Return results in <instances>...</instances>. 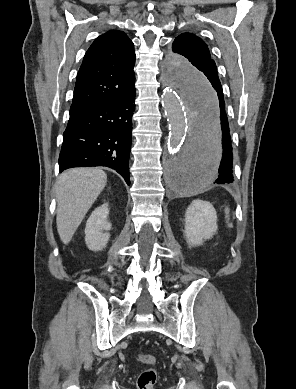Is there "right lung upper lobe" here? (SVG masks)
Here are the masks:
<instances>
[{
	"instance_id": "1",
	"label": "right lung upper lobe",
	"mask_w": 296,
	"mask_h": 389,
	"mask_svg": "<svg viewBox=\"0 0 296 389\" xmlns=\"http://www.w3.org/2000/svg\"><path fill=\"white\" fill-rule=\"evenodd\" d=\"M135 58L124 32L111 30L96 38L78 72L70 115L120 97L135 80Z\"/></svg>"
}]
</instances>
